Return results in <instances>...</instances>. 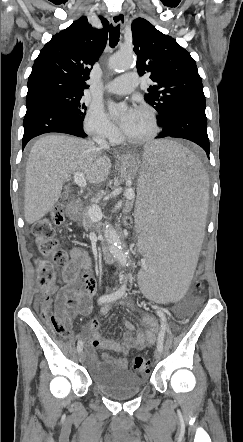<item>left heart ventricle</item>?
Returning <instances> with one entry per match:
<instances>
[{
	"label": "left heart ventricle",
	"instance_id": "obj_1",
	"mask_svg": "<svg viewBox=\"0 0 243 442\" xmlns=\"http://www.w3.org/2000/svg\"><path fill=\"white\" fill-rule=\"evenodd\" d=\"M152 128L150 115L145 111L138 110L129 126L123 130V133L129 138L137 139L150 134Z\"/></svg>",
	"mask_w": 243,
	"mask_h": 442
}]
</instances>
